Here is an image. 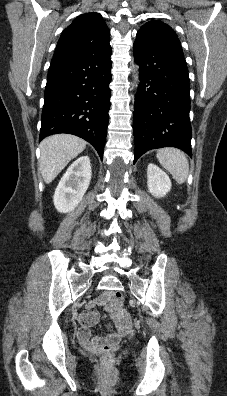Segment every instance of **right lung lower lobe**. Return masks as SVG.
<instances>
[{
    "mask_svg": "<svg viewBox=\"0 0 227 396\" xmlns=\"http://www.w3.org/2000/svg\"><path fill=\"white\" fill-rule=\"evenodd\" d=\"M110 43L52 59L39 140L69 133L91 143L103 158L110 109Z\"/></svg>",
    "mask_w": 227,
    "mask_h": 396,
    "instance_id": "1",
    "label": "right lung lower lobe"
}]
</instances>
